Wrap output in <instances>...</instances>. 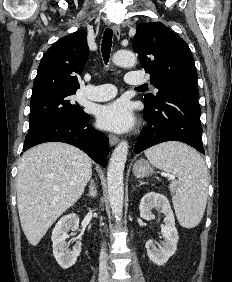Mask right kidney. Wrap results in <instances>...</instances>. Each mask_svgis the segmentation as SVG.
<instances>
[{
	"instance_id": "ca27d5eb",
	"label": "right kidney",
	"mask_w": 232,
	"mask_h": 282,
	"mask_svg": "<svg viewBox=\"0 0 232 282\" xmlns=\"http://www.w3.org/2000/svg\"><path fill=\"white\" fill-rule=\"evenodd\" d=\"M79 227V218L76 214H68L63 216L55 225L52 232L53 254L58 264L63 269H68L75 264L81 252V242L75 241L72 249H69V243L66 239L69 238V231L75 232Z\"/></svg>"
}]
</instances>
